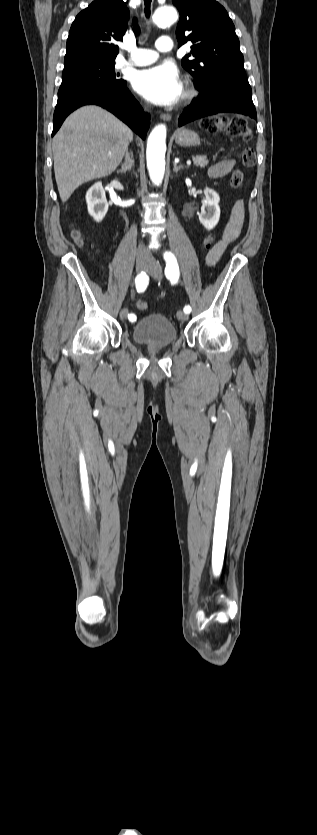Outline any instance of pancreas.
<instances>
[{
  "label": "pancreas",
  "mask_w": 317,
  "mask_h": 835,
  "mask_svg": "<svg viewBox=\"0 0 317 835\" xmlns=\"http://www.w3.org/2000/svg\"><path fill=\"white\" fill-rule=\"evenodd\" d=\"M193 161L196 166H200L202 168H204L208 163L205 155H196L194 156Z\"/></svg>",
  "instance_id": "cf45deb5"
}]
</instances>
